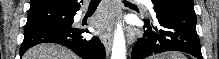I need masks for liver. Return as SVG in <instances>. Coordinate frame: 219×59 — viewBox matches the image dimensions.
<instances>
[{
    "label": "liver",
    "mask_w": 219,
    "mask_h": 59,
    "mask_svg": "<svg viewBox=\"0 0 219 59\" xmlns=\"http://www.w3.org/2000/svg\"><path fill=\"white\" fill-rule=\"evenodd\" d=\"M22 59H79V57L60 45L45 43L27 50Z\"/></svg>",
    "instance_id": "obj_1"
}]
</instances>
